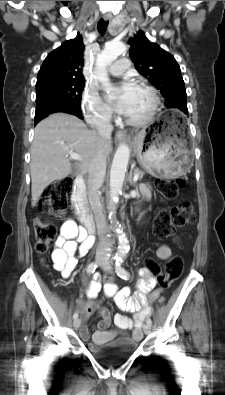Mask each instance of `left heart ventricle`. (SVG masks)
Masks as SVG:
<instances>
[{"mask_svg": "<svg viewBox=\"0 0 225 395\" xmlns=\"http://www.w3.org/2000/svg\"><path fill=\"white\" fill-rule=\"evenodd\" d=\"M152 99L147 91L137 88L136 98L130 113L127 115L130 119H141L149 111Z\"/></svg>", "mask_w": 225, "mask_h": 395, "instance_id": "left-heart-ventricle-1", "label": "left heart ventricle"}]
</instances>
